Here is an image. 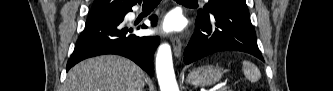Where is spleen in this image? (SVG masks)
Returning <instances> with one entry per match:
<instances>
[{
	"label": "spleen",
	"mask_w": 333,
	"mask_h": 91,
	"mask_svg": "<svg viewBox=\"0 0 333 91\" xmlns=\"http://www.w3.org/2000/svg\"><path fill=\"white\" fill-rule=\"evenodd\" d=\"M242 71L250 82H257L261 77L259 69L250 61L242 62Z\"/></svg>",
	"instance_id": "obj_1"
}]
</instances>
